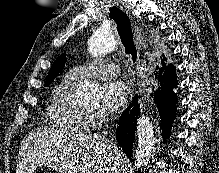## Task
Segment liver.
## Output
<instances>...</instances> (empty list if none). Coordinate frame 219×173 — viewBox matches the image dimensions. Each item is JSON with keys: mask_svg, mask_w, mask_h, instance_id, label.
<instances>
[{"mask_svg": "<svg viewBox=\"0 0 219 173\" xmlns=\"http://www.w3.org/2000/svg\"><path fill=\"white\" fill-rule=\"evenodd\" d=\"M44 165L61 173H119L121 154L113 160L99 135L37 128L22 140L16 173H32Z\"/></svg>", "mask_w": 219, "mask_h": 173, "instance_id": "liver-1", "label": "liver"}]
</instances>
